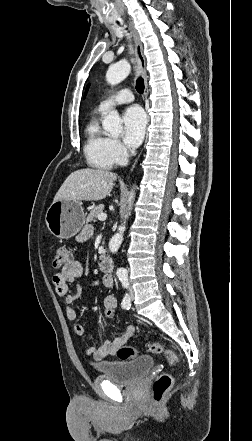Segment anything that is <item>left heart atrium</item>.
Here are the masks:
<instances>
[{
    "mask_svg": "<svg viewBox=\"0 0 252 441\" xmlns=\"http://www.w3.org/2000/svg\"><path fill=\"white\" fill-rule=\"evenodd\" d=\"M147 119L143 109L137 105L129 107L123 114V140L130 148H136L142 142Z\"/></svg>",
    "mask_w": 252,
    "mask_h": 441,
    "instance_id": "obj_1",
    "label": "left heart atrium"
}]
</instances>
